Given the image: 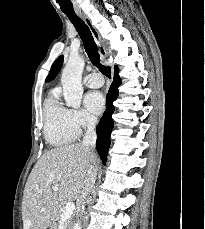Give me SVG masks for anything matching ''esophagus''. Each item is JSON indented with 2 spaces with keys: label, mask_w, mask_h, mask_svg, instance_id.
Instances as JSON below:
<instances>
[{
  "label": "esophagus",
  "mask_w": 205,
  "mask_h": 229,
  "mask_svg": "<svg viewBox=\"0 0 205 229\" xmlns=\"http://www.w3.org/2000/svg\"><path fill=\"white\" fill-rule=\"evenodd\" d=\"M81 18L84 20V22L86 23V25L89 27L92 35H93V38L95 39L98 47H99V51H100V54L101 56L104 58L107 56V51H106V48L104 46V43L103 41L101 40V37L97 31V29L95 28V26L93 25V23L91 22V20L85 16V15H81Z\"/></svg>",
  "instance_id": "1"
}]
</instances>
